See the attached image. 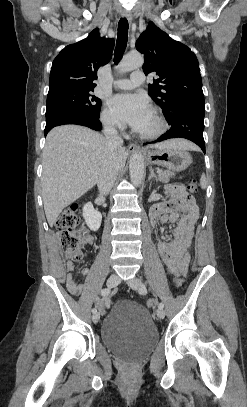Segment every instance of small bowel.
Segmentation results:
<instances>
[{"instance_id": "obj_1", "label": "small bowel", "mask_w": 247, "mask_h": 407, "mask_svg": "<svg viewBox=\"0 0 247 407\" xmlns=\"http://www.w3.org/2000/svg\"><path fill=\"white\" fill-rule=\"evenodd\" d=\"M169 199L154 205L150 210V220L153 226L158 224H174L171 231L172 240L167 242L162 237L157 239V250L168 271L177 277L185 276L190 262L195 224L199 218V210L195 200L190 197L182 185H171L167 188ZM84 243L92 244V238L86 237ZM66 284L69 292L78 295L83 284L75 281L74 264H66ZM89 268H84L82 274L87 276ZM96 305L105 306L104 299H97Z\"/></svg>"}]
</instances>
